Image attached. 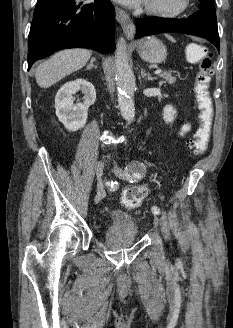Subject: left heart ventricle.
<instances>
[{"label": "left heart ventricle", "mask_w": 233, "mask_h": 328, "mask_svg": "<svg viewBox=\"0 0 233 328\" xmlns=\"http://www.w3.org/2000/svg\"><path fill=\"white\" fill-rule=\"evenodd\" d=\"M157 6H162V7H173L176 5L178 0H150Z\"/></svg>", "instance_id": "b2bd125f"}]
</instances>
